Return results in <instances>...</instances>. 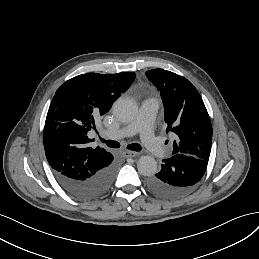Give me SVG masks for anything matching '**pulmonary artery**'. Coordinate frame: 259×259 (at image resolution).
<instances>
[{"instance_id":"e3ab8cb5","label":"pulmonary artery","mask_w":259,"mask_h":259,"mask_svg":"<svg viewBox=\"0 0 259 259\" xmlns=\"http://www.w3.org/2000/svg\"><path fill=\"white\" fill-rule=\"evenodd\" d=\"M161 103L162 100L158 96L144 100L137 114L133 118H130L127 121L123 122L120 129L101 132V137L105 139H120L124 136L131 135L133 133L134 121H148L157 113L159 107L161 106Z\"/></svg>"}]
</instances>
